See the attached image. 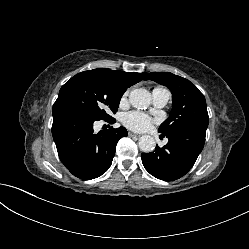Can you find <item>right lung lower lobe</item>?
Returning a JSON list of instances; mask_svg holds the SVG:
<instances>
[{"label": "right lung lower lobe", "instance_id": "98d812e1", "mask_svg": "<svg viewBox=\"0 0 249 249\" xmlns=\"http://www.w3.org/2000/svg\"><path fill=\"white\" fill-rule=\"evenodd\" d=\"M52 135L58 155L76 177L90 180L101 176L111 166L124 127L93 133L94 119L66 105H53ZM113 123L115 119L108 120Z\"/></svg>", "mask_w": 249, "mask_h": 249}]
</instances>
